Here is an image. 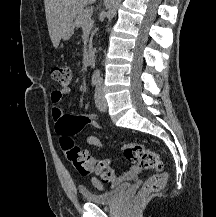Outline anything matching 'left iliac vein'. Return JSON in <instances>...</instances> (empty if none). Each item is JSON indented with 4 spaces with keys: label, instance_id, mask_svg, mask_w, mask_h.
<instances>
[{
    "label": "left iliac vein",
    "instance_id": "1",
    "mask_svg": "<svg viewBox=\"0 0 216 217\" xmlns=\"http://www.w3.org/2000/svg\"><path fill=\"white\" fill-rule=\"evenodd\" d=\"M95 103L100 111L105 112L107 110V101L103 93V86L101 82H99L95 90Z\"/></svg>",
    "mask_w": 216,
    "mask_h": 217
}]
</instances>
